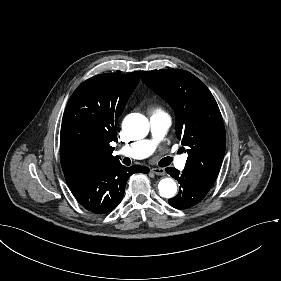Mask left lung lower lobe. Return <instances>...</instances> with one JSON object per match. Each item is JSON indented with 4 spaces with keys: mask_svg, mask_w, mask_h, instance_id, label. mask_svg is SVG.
Segmentation results:
<instances>
[{
    "mask_svg": "<svg viewBox=\"0 0 281 281\" xmlns=\"http://www.w3.org/2000/svg\"><path fill=\"white\" fill-rule=\"evenodd\" d=\"M166 171L180 184L178 194L168 200L169 204L177 209H187L198 204L213 185L188 169L180 172L176 168L169 167Z\"/></svg>",
    "mask_w": 281,
    "mask_h": 281,
    "instance_id": "left-lung-lower-lobe-1",
    "label": "left lung lower lobe"
}]
</instances>
